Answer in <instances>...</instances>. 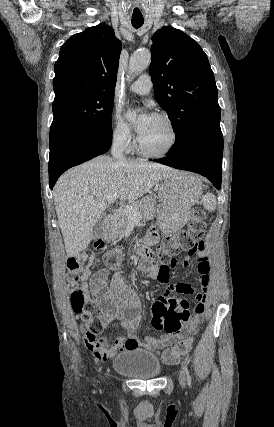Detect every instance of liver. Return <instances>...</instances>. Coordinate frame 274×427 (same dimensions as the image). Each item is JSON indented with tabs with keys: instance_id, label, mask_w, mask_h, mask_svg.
Instances as JSON below:
<instances>
[{
	"instance_id": "liver-1",
	"label": "liver",
	"mask_w": 274,
	"mask_h": 427,
	"mask_svg": "<svg viewBox=\"0 0 274 427\" xmlns=\"http://www.w3.org/2000/svg\"><path fill=\"white\" fill-rule=\"evenodd\" d=\"M176 172L161 164L109 156H98L65 172L56 182L53 196L68 257L86 249L109 196L118 194L120 200L135 202Z\"/></svg>"
}]
</instances>
